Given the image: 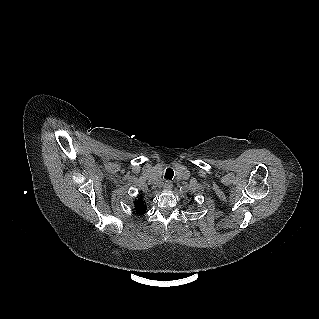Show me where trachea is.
Segmentation results:
<instances>
[{"mask_svg": "<svg viewBox=\"0 0 319 319\" xmlns=\"http://www.w3.org/2000/svg\"><path fill=\"white\" fill-rule=\"evenodd\" d=\"M174 176V171L171 168H167L165 172V179L171 180Z\"/></svg>", "mask_w": 319, "mask_h": 319, "instance_id": "3493384b", "label": "trachea"}]
</instances>
